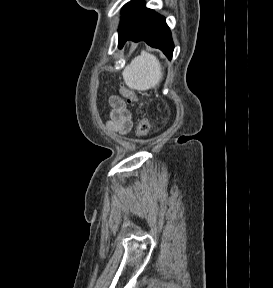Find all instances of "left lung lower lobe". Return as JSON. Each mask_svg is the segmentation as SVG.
<instances>
[{
	"label": "left lung lower lobe",
	"mask_w": 273,
	"mask_h": 288,
	"mask_svg": "<svg viewBox=\"0 0 273 288\" xmlns=\"http://www.w3.org/2000/svg\"><path fill=\"white\" fill-rule=\"evenodd\" d=\"M118 32L119 48L127 40L145 41L148 45L159 48L168 59L172 58L174 45L165 18L146 8L143 0H133L127 5Z\"/></svg>",
	"instance_id": "left-lung-lower-lobe-1"
}]
</instances>
